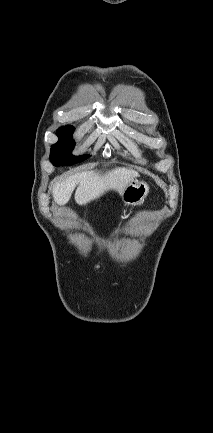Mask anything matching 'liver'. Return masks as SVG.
Instances as JSON below:
<instances>
[{
    "mask_svg": "<svg viewBox=\"0 0 213 433\" xmlns=\"http://www.w3.org/2000/svg\"><path fill=\"white\" fill-rule=\"evenodd\" d=\"M138 175L136 171L126 168H115L105 173L100 171H84L57 182L53 187V197L57 204H66L77 186L75 201L85 205L92 200L100 198L109 190L119 194Z\"/></svg>",
    "mask_w": 213,
    "mask_h": 433,
    "instance_id": "liver-1",
    "label": "liver"
}]
</instances>
